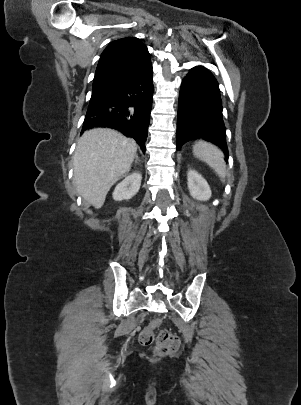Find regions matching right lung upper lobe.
<instances>
[{
  "label": "right lung upper lobe",
  "mask_w": 301,
  "mask_h": 405,
  "mask_svg": "<svg viewBox=\"0 0 301 405\" xmlns=\"http://www.w3.org/2000/svg\"><path fill=\"white\" fill-rule=\"evenodd\" d=\"M148 60L147 47L135 37L112 41L101 54L93 81V93H111Z\"/></svg>",
  "instance_id": "1"
}]
</instances>
